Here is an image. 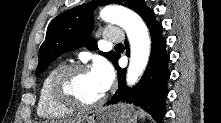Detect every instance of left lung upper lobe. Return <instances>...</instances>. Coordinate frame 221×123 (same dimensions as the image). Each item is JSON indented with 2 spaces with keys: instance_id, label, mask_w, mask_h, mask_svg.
I'll list each match as a JSON object with an SVG mask.
<instances>
[{
  "instance_id": "left-lung-upper-lobe-1",
  "label": "left lung upper lobe",
  "mask_w": 221,
  "mask_h": 123,
  "mask_svg": "<svg viewBox=\"0 0 221 123\" xmlns=\"http://www.w3.org/2000/svg\"><path fill=\"white\" fill-rule=\"evenodd\" d=\"M116 3L139 12L145 6L144 0H93L90 3L74 7L57 17L49 24L46 38L41 45L36 75H40L58 56L81 46L97 49L96 41L90 36L93 29L92 17L97 5ZM99 54L108 58L112 63L118 53L115 51Z\"/></svg>"
}]
</instances>
